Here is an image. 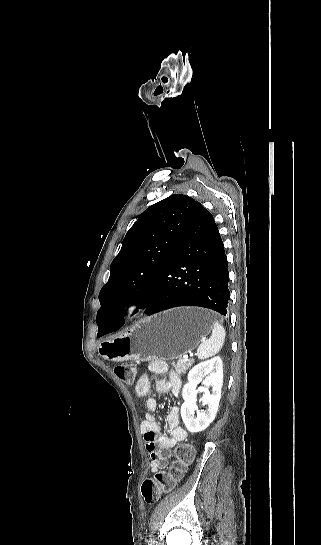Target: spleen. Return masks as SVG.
Instances as JSON below:
<instances>
[{
  "mask_svg": "<svg viewBox=\"0 0 321 545\" xmlns=\"http://www.w3.org/2000/svg\"><path fill=\"white\" fill-rule=\"evenodd\" d=\"M225 337L226 331L224 327L218 321H214L210 339L203 341L197 349L198 359H209V357L217 355L224 345Z\"/></svg>",
  "mask_w": 321,
  "mask_h": 545,
  "instance_id": "1",
  "label": "spleen"
}]
</instances>
